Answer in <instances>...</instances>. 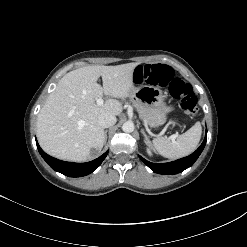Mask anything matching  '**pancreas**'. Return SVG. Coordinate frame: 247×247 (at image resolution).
<instances>
[{"label": "pancreas", "mask_w": 247, "mask_h": 247, "mask_svg": "<svg viewBox=\"0 0 247 247\" xmlns=\"http://www.w3.org/2000/svg\"><path fill=\"white\" fill-rule=\"evenodd\" d=\"M133 105L139 112V115L145 124L156 127L162 125L166 120V112L160 108L146 106L140 101L135 100L133 101Z\"/></svg>", "instance_id": "pancreas-1"}]
</instances>
